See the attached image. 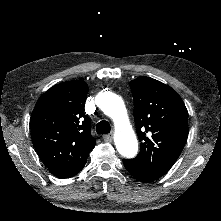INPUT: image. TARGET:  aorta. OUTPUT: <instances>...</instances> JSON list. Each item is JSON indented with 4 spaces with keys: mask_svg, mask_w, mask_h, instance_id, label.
I'll use <instances>...</instances> for the list:
<instances>
[{
    "mask_svg": "<svg viewBox=\"0 0 221 221\" xmlns=\"http://www.w3.org/2000/svg\"><path fill=\"white\" fill-rule=\"evenodd\" d=\"M101 109L114 122V142L118 152L126 158L135 157L138 153V141L122 98L109 94L101 105Z\"/></svg>",
    "mask_w": 221,
    "mask_h": 221,
    "instance_id": "aorta-1",
    "label": "aorta"
}]
</instances>
